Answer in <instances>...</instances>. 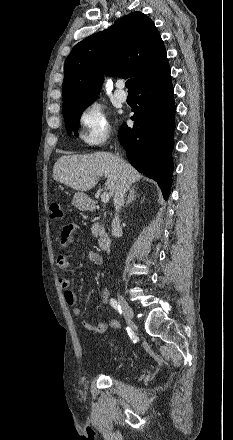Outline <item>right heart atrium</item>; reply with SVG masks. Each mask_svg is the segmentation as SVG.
<instances>
[{
    "label": "right heart atrium",
    "instance_id": "obj_1",
    "mask_svg": "<svg viewBox=\"0 0 233 440\" xmlns=\"http://www.w3.org/2000/svg\"><path fill=\"white\" fill-rule=\"evenodd\" d=\"M78 123L79 138L87 146H100L110 136L111 126L107 113L98 102H91L81 109Z\"/></svg>",
    "mask_w": 233,
    "mask_h": 440
}]
</instances>
